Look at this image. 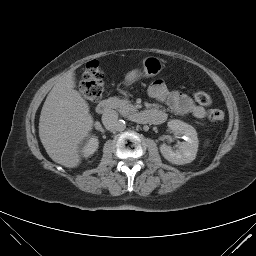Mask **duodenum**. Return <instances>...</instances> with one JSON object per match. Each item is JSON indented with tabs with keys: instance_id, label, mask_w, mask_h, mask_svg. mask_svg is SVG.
Listing matches in <instances>:
<instances>
[{
	"instance_id": "1",
	"label": "duodenum",
	"mask_w": 256,
	"mask_h": 256,
	"mask_svg": "<svg viewBox=\"0 0 256 256\" xmlns=\"http://www.w3.org/2000/svg\"><path fill=\"white\" fill-rule=\"evenodd\" d=\"M113 103L111 100H103L96 106L98 114L108 113L112 109ZM135 120L140 123H154L155 115L150 110L142 111L135 115Z\"/></svg>"
}]
</instances>
